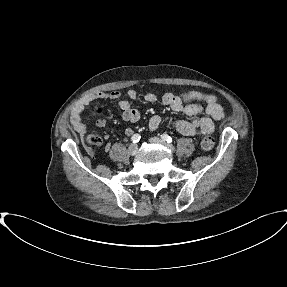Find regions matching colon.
<instances>
[{
  "mask_svg": "<svg viewBox=\"0 0 287 287\" xmlns=\"http://www.w3.org/2000/svg\"><path fill=\"white\" fill-rule=\"evenodd\" d=\"M85 142L89 146H96L100 142V139L97 135L89 134L85 137ZM214 138L211 136H205L201 141V147L205 151H210L214 147Z\"/></svg>",
  "mask_w": 287,
  "mask_h": 287,
  "instance_id": "obj_1",
  "label": "colon"
}]
</instances>
